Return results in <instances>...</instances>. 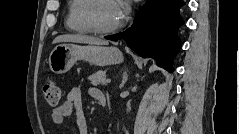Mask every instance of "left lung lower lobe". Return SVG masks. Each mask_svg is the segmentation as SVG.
Here are the masks:
<instances>
[{
  "label": "left lung lower lobe",
  "instance_id": "0a47b994",
  "mask_svg": "<svg viewBox=\"0 0 239 134\" xmlns=\"http://www.w3.org/2000/svg\"><path fill=\"white\" fill-rule=\"evenodd\" d=\"M184 4L182 0H150L130 28L106 39H123L141 57L154 58L158 66L173 72L172 59L180 47L176 28L184 23L179 9Z\"/></svg>",
  "mask_w": 239,
  "mask_h": 134
}]
</instances>
